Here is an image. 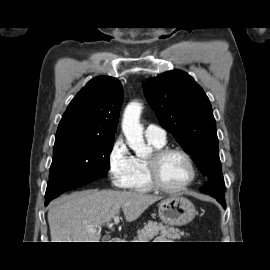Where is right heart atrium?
<instances>
[{
	"mask_svg": "<svg viewBox=\"0 0 270 270\" xmlns=\"http://www.w3.org/2000/svg\"><path fill=\"white\" fill-rule=\"evenodd\" d=\"M108 175L115 187L127 189L134 175V156L125 141L117 138L107 156Z\"/></svg>",
	"mask_w": 270,
	"mask_h": 270,
	"instance_id": "obj_1",
	"label": "right heart atrium"
}]
</instances>
